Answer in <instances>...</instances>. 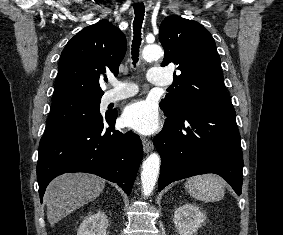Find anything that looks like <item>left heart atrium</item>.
Segmentation results:
<instances>
[{
  "label": "left heart atrium",
  "mask_w": 283,
  "mask_h": 235,
  "mask_svg": "<svg viewBox=\"0 0 283 235\" xmlns=\"http://www.w3.org/2000/svg\"><path fill=\"white\" fill-rule=\"evenodd\" d=\"M123 123L141 134H152L159 127L156 107L148 101L129 104L122 114Z\"/></svg>",
  "instance_id": "obj_1"
}]
</instances>
